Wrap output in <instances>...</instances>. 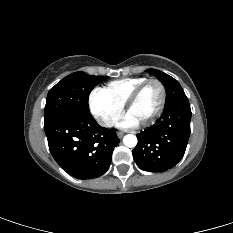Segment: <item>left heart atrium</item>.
Wrapping results in <instances>:
<instances>
[{"mask_svg":"<svg viewBox=\"0 0 233 233\" xmlns=\"http://www.w3.org/2000/svg\"><path fill=\"white\" fill-rule=\"evenodd\" d=\"M137 123L138 122L132 116L128 114L125 117V119L119 124V126L121 128H130V127L137 125Z\"/></svg>","mask_w":233,"mask_h":233,"instance_id":"39dd6f15","label":"left heart atrium"}]
</instances>
